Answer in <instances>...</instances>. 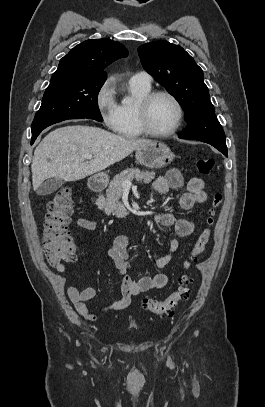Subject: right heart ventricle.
Returning a JSON list of instances; mask_svg holds the SVG:
<instances>
[{"label":"right heart ventricle","instance_id":"right-heart-ventricle-1","mask_svg":"<svg viewBox=\"0 0 265 407\" xmlns=\"http://www.w3.org/2000/svg\"><path fill=\"white\" fill-rule=\"evenodd\" d=\"M129 88L133 96V102L118 105V121L114 131L124 138H139L144 134L137 123L136 107L142 98L151 91V85L147 86L130 81Z\"/></svg>","mask_w":265,"mask_h":407}]
</instances>
